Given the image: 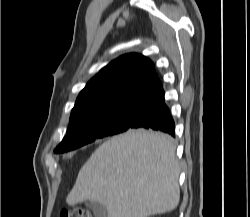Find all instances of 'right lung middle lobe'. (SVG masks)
Listing matches in <instances>:
<instances>
[{
	"instance_id": "obj_1",
	"label": "right lung middle lobe",
	"mask_w": 250,
	"mask_h": 217,
	"mask_svg": "<svg viewBox=\"0 0 250 217\" xmlns=\"http://www.w3.org/2000/svg\"><path fill=\"white\" fill-rule=\"evenodd\" d=\"M139 105H121L70 119L66 136L54 152H67L91 143L95 139L128 130L136 116Z\"/></svg>"
}]
</instances>
